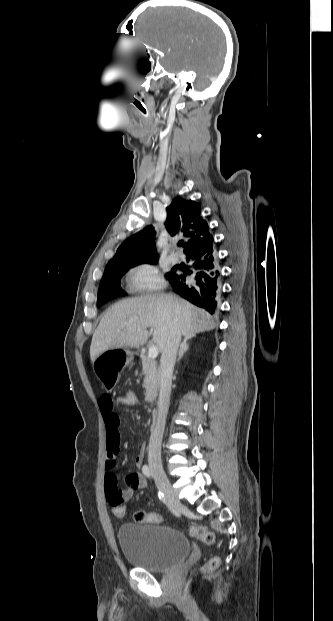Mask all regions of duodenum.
Listing matches in <instances>:
<instances>
[{"label":"duodenum","mask_w":333,"mask_h":621,"mask_svg":"<svg viewBox=\"0 0 333 621\" xmlns=\"http://www.w3.org/2000/svg\"><path fill=\"white\" fill-rule=\"evenodd\" d=\"M156 420H157V415L154 413L152 415V423H151V426H150L151 430H153L155 428Z\"/></svg>","instance_id":"duodenum-1"}]
</instances>
